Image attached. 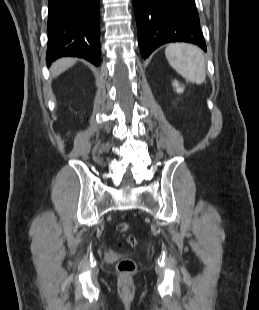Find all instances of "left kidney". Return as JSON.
<instances>
[{"label": "left kidney", "mask_w": 259, "mask_h": 310, "mask_svg": "<svg viewBox=\"0 0 259 310\" xmlns=\"http://www.w3.org/2000/svg\"><path fill=\"white\" fill-rule=\"evenodd\" d=\"M173 86L176 88L177 93H182L184 88L179 85V82L175 80Z\"/></svg>", "instance_id": "left-kidney-1"}]
</instances>
